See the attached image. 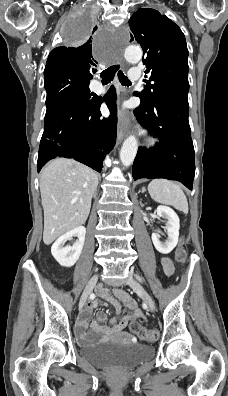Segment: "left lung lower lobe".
<instances>
[{
    "instance_id": "left-lung-lower-lobe-1",
    "label": "left lung lower lobe",
    "mask_w": 228,
    "mask_h": 396,
    "mask_svg": "<svg viewBox=\"0 0 228 396\" xmlns=\"http://www.w3.org/2000/svg\"><path fill=\"white\" fill-rule=\"evenodd\" d=\"M134 114L160 141L151 149H138L132 170L134 180L166 178L192 189L195 159L188 121V93L163 94L152 105L141 103Z\"/></svg>"
}]
</instances>
